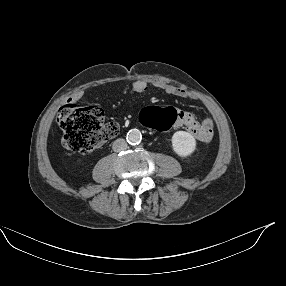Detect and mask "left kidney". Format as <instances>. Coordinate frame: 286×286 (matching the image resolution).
<instances>
[{"label":"left kidney","instance_id":"left-kidney-1","mask_svg":"<svg viewBox=\"0 0 286 286\" xmlns=\"http://www.w3.org/2000/svg\"><path fill=\"white\" fill-rule=\"evenodd\" d=\"M172 147L178 156L187 157L195 151L196 140L186 131H177L172 136Z\"/></svg>","mask_w":286,"mask_h":286}]
</instances>
